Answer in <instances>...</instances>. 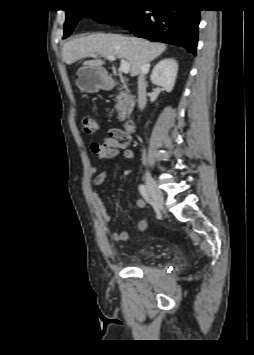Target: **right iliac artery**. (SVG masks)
Returning a JSON list of instances; mask_svg holds the SVG:
<instances>
[{"mask_svg":"<svg viewBox=\"0 0 254 355\" xmlns=\"http://www.w3.org/2000/svg\"><path fill=\"white\" fill-rule=\"evenodd\" d=\"M139 191H140L141 195L143 196V198L146 200V202L151 204V199L149 197L146 186L143 184L139 185Z\"/></svg>","mask_w":254,"mask_h":355,"instance_id":"82829eb1","label":"right iliac artery"}]
</instances>
